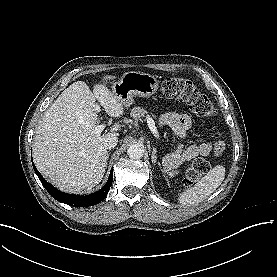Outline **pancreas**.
<instances>
[{
    "label": "pancreas",
    "instance_id": "cf45deb5",
    "mask_svg": "<svg viewBox=\"0 0 277 277\" xmlns=\"http://www.w3.org/2000/svg\"><path fill=\"white\" fill-rule=\"evenodd\" d=\"M130 115L133 117V119L138 120L144 117L148 116L147 110L141 108V107H134L131 109Z\"/></svg>",
    "mask_w": 277,
    "mask_h": 277
}]
</instances>
